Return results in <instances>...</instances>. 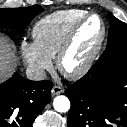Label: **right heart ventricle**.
<instances>
[{
  "label": "right heart ventricle",
  "instance_id": "right-heart-ventricle-1",
  "mask_svg": "<svg viewBox=\"0 0 127 127\" xmlns=\"http://www.w3.org/2000/svg\"><path fill=\"white\" fill-rule=\"evenodd\" d=\"M85 10L68 9L49 14L35 23L32 29L34 43L48 58H55L67 33Z\"/></svg>",
  "mask_w": 127,
  "mask_h": 127
}]
</instances>
